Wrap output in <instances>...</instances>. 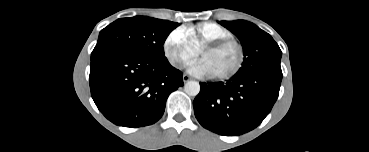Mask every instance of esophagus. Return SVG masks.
Returning <instances> with one entry per match:
<instances>
[{"instance_id": "1", "label": "esophagus", "mask_w": 369, "mask_h": 152, "mask_svg": "<svg viewBox=\"0 0 369 152\" xmlns=\"http://www.w3.org/2000/svg\"><path fill=\"white\" fill-rule=\"evenodd\" d=\"M190 79L191 78L188 75L186 74L183 75V82H188Z\"/></svg>"}]
</instances>
